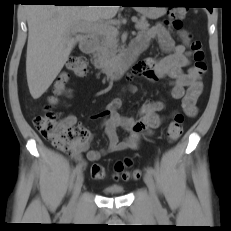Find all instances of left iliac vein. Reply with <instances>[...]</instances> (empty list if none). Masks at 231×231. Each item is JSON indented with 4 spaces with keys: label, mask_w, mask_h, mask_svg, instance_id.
<instances>
[{
    "label": "left iliac vein",
    "mask_w": 231,
    "mask_h": 231,
    "mask_svg": "<svg viewBox=\"0 0 231 231\" xmlns=\"http://www.w3.org/2000/svg\"><path fill=\"white\" fill-rule=\"evenodd\" d=\"M144 182L149 189V198L152 206L159 207L160 203L156 195L155 183L153 177L148 172L144 175Z\"/></svg>",
    "instance_id": "obj_1"
}]
</instances>
